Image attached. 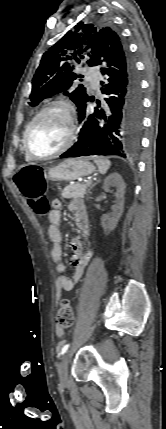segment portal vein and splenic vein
<instances>
[{"mask_svg": "<svg viewBox=\"0 0 166 429\" xmlns=\"http://www.w3.org/2000/svg\"><path fill=\"white\" fill-rule=\"evenodd\" d=\"M86 183H87V184H88V183H91V180L86 181Z\"/></svg>", "mask_w": 166, "mask_h": 429, "instance_id": "portal-vein-and-splenic-vein-1", "label": "portal vein and splenic vein"}]
</instances>
